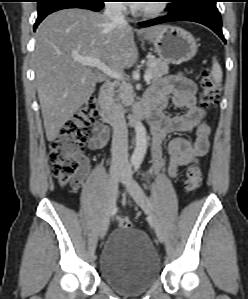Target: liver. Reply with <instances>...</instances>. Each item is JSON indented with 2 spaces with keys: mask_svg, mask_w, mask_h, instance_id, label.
<instances>
[{
  "mask_svg": "<svg viewBox=\"0 0 248 299\" xmlns=\"http://www.w3.org/2000/svg\"><path fill=\"white\" fill-rule=\"evenodd\" d=\"M163 26L138 31L149 40ZM76 57H93L122 72L138 59L134 30L112 23L105 15L64 9L46 17L36 32L33 61L46 138L52 142L65 123L84 105L105 75L83 66Z\"/></svg>",
  "mask_w": 248,
  "mask_h": 299,
  "instance_id": "6515ba94",
  "label": "liver"
}]
</instances>
